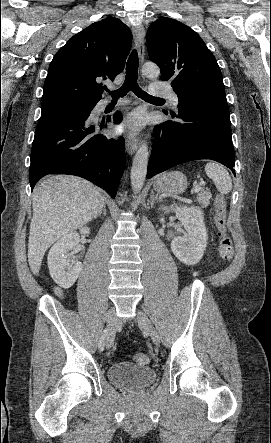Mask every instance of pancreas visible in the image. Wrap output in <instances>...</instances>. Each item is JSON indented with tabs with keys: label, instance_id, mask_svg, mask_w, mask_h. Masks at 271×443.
I'll return each mask as SVG.
<instances>
[{
	"label": "pancreas",
	"instance_id": "obj_1",
	"mask_svg": "<svg viewBox=\"0 0 271 443\" xmlns=\"http://www.w3.org/2000/svg\"><path fill=\"white\" fill-rule=\"evenodd\" d=\"M212 198L211 192H208V190H201L198 194V202L201 204L202 208H207L210 204V200Z\"/></svg>",
	"mask_w": 271,
	"mask_h": 443
}]
</instances>
